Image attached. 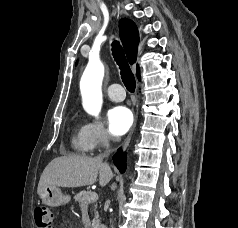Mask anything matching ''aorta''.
<instances>
[{
    "instance_id": "762f6f07",
    "label": "aorta",
    "mask_w": 238,
    "mask_h": 228,
    "mask_svg": "<svg viewBox=\"0 0 238 228\" xmlns=\"http://www.w3.org/2000/svg\"><path fill=\"white\" fill-rule=\"evenodd\" d=\"M104 66L100 61L90 60L80 81V90L85 111L95 117L102 107V81Z\"/></svg>"
}]
</instances>
